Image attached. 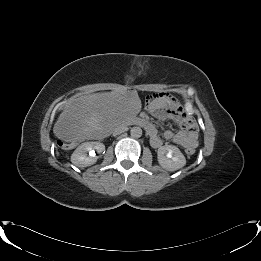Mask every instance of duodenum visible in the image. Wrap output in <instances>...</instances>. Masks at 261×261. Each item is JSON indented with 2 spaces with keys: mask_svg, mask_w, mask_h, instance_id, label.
<instances>
[{
  "mask_svg": "<svg viewBox=\"0 0 261 261\" xmlns=\"http://www.w3.org/2000/svg\"><path fill=\"white\" fill-rule=\"evenodd\" d=\"M136 123L139 124V125H142V126H146L147 125V121L145 119H143V118L137 119Z\"/></svg>",
  "mask_w": 261,
  "mask_h": 261,
  "instance_id": "1",
  "label": "duodenum"
}]
</instances>
